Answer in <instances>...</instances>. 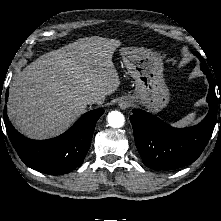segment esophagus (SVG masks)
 <instances>
[{"label": "esophagus", "mask_w": 221, "mask_h": 221, "mask_svg": "<svg viewBox=\"0 0 221 221\" xmlns=\"http://www.w3.org/2000/svg\"><path fill=\"white\" fill-rule=\"evenodd\" d=\"M131 105V101L128 98H122L119 101V107L121 109H127Z\"/></svg>", "instance_id": "34e87169"}]
</instances>
